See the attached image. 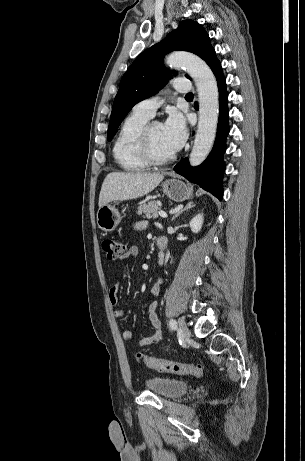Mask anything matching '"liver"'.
<instances>
[{"label": "liver", "instance_id": "1", "mask_svg": "<svg viewBox=\"0 0 305 461\" xmlns=\"http://www.w3.org/2000/svg\"><path fill=\"white\" fill-rule=\"evenodd\" d=\"M160 173L112 172L102 184L99 195V208L112 201L136 199L154 190L163 180Z\"/></svg>", "mask_w": 305, "mask_h": 461}]
</instances>
